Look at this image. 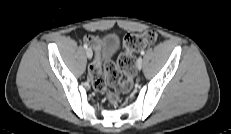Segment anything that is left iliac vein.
Returning <instances> with one entry per match:
<instances>
[{
  "mask_svg": "<svg viewBox=\"0 0 231 134\" xmlns=\"http://www.w3.org/2000/svg\"><path fill=\"white\" fill-rule=\"evenodd\" d=\"M137 68L140 70L142 68V58L139 57L137 60Z\"/></svg>",
  "mask_w": 231,
  "mask_h": 134,
  "instance_id": "4c4485c4",
  "label": "left iliac vein"
}]
</instances>
